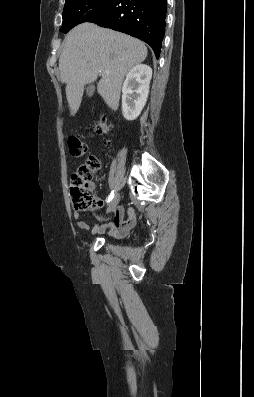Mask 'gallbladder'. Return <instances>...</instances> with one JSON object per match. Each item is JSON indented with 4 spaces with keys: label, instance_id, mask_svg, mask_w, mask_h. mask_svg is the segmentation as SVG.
Returning a JSON list of instances; mask_svg holds the SVG:
<instances>
[{
    "label": "gallbladder",
    "instance_id": "gallbladder-1",
    "mask_svg": "<svg viewBox=\"0 0 254 397\" xmlns=\"http://www.w3.org/2000/svg\"><path fill=\"white\" fill-rule=\"evenodd\" d=\"M95 91V86L93 84H90L87 89H86V93L87 95L90 97L94 94Z\"/></svg>",
    "mask_w": 254,
    "mask_h": 397
}]
</instances>
